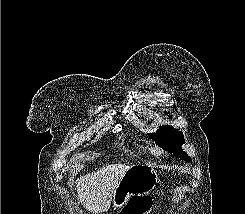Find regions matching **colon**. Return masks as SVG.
I'll list each match as a JSON object with an SVG mask.
<instances>
[{
	"mask_svg": "<svg viewBox=\"0 0 245 214\" xmlns=\"http://www.w3.org/2000/svg\"><path fill=\"white\" fill-rule=\"evenodd\" d=\"M151 207V201L147 198H133L120 214H145Z\"/></svg>",
	"mask_w": 245,
	"mask_h": 214,
	"instance_id": "obj_1",
	"label": "colon"
}]
</instances>
